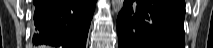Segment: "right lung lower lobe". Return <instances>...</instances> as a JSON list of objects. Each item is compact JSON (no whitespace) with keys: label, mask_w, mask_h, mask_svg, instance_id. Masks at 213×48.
<instances>
[{"label":"right lung lower lobe","mask_w":213,"mask_h":48,"mask_svg":"<svg viewBox=\"0 0 213 48\" xmlns=\"http://www.w3.org/2000/svg\"><path fill=\"white\" fill-rule=\"evenodd\" d=\"M34 45L85 48L96 0H34Z\"/></svg>","instance_id":"obj_1"}]
</instances>
